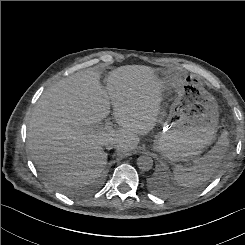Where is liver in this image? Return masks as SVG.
Segmentation results:
<instances>
[{
  "mask_svg": "<svg viewBox=\"0 0 245 245\" xmlns=\"http://www.w3.org/2000/svg\"><path fill=\"white\" fill-rule=\"evenodd\" d=\"M157 71L143 65L118 67L109 73L104 90L100 73L84 70L49 87L28 124L32 160L65 185L98 178L107 164L104 142L113 141L118 153H126L155 127L165 83ZM109 100L120 128L106 131L97 125L109 114Z\"/></svg>",
  "mask_w": 245,
  "mask_h": 245,
  "instance_id": "1",
  "label": "liver"
}]
</instances>
